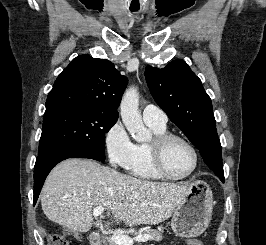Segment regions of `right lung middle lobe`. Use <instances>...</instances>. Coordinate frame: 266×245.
Here are the masks:
<instances>
[{
  "mask_svg": "<svg viewBox=\"0 0 266 245\" xmlns=\"http://www.w3.org/2000/svg\"><path fill=\"white\" fill-rule=\"evenodd\" d=\"M118 115L77 108L44 117L38 155L58 148L89 152L105 161V133Z\"/></svg>",
  "mask_w": 266,
  "mask_h": 245,
  "instance_id": "obj_1",
  "label": "right lung middle lobe"
}]
</instances>
